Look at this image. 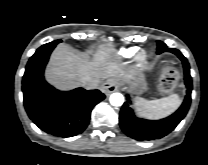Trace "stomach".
Here are the masks:
<instances>
[{"label":"stomach","mask_w":208,"mask_h":165,"mask_svg":"<svg viewBox=\"0 0 208 165\" xmlns=\"http://www.w3.org/2000/svg\"><path fill=\"white\" fill-rule=\"evenodd\" d=\"M120 84H128L137 94L143 93L147 88V83L142 68L131 69L117 77Z\"/></svg>","instance_id":"obj_1"}]
</instances>
